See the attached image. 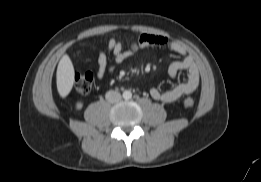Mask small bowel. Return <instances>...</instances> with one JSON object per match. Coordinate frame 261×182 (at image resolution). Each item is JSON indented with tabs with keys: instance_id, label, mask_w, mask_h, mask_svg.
I'll return each mask as SVG.
<instances>
[{
	"instance_id": "1",
	"label": "small bowel",
	"mask_w": 261,
	"mask_h": 182,
	"mask_svg": "<svg viewBox=\"0 0 261 182\" xmlns=\"http://www.w3.org/2000/svg\"><path fill=\"white\" fill-rule=\"evenodd\" d=\"M148 47H164L182 56L181 60L172 62L168 68V73L172 78H175L181 71H186L187 73L185 81L171 88L166 90L152 88L150 95L153 99L169 103L197 90L200 83V73L193 56L189 54L181 43L154 34H141L128 48H124L121 41L115 38L109 39L105 50L93 46L92 49L97 53L96 78L102 80L107 74L114 72L117 66L132 57L138 50ZM109 55H111V61Z\"/></svg>"
}]
</instances>
